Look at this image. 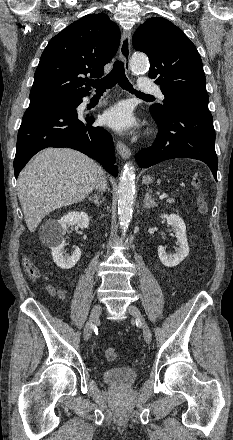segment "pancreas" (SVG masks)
Masks as SVG:
<instances>
[{"label": "pancreas", "mask_w": 233, "mask_h": 440, "mask_svg": "<svg viewBox=\"0 0 233 440\" xmlns=\"http://www.w3.org/2000/svg\"><path fill=\"white\" fill-rule=\"evenodd\" d=\"M167 202H168L169 204H171V203H173L174 201H173V199H168Z\"/></svg>", "instance_id": "1"}]
</instances>
